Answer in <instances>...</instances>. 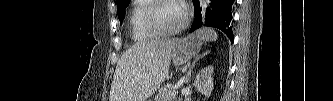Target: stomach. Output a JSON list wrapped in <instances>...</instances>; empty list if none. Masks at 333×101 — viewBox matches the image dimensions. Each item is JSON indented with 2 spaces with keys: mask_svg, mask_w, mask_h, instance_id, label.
I'll return each instance as SVG.
<instances>
[{
  "mask_svg": "<svg viewBox=\"0 0 333 101\" xmlns=\"http://www.w3.org/2000/svg\"><path fill=\"white\" fill-rule=\"evenodd\" d=\"M202 39L199 35H189L184 39L174 40L171 58L175 66L183 65L195 57L201 50Z\"/></svg>",
  "mask_w": 333,
  "mask_h": 101,
  "instance_id": "1",
  "label": "stomach"
}]
</instances>
